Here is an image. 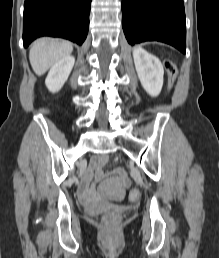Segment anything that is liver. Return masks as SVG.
Here are the masks:
<instances>
[{
  "label": "liver",
  "instance_id": "6515ba94",
  "mask_svg": "<svg viewBox=\"0 0 219 258\" xmlns=\"http://www.w3.org/2000/svg\"><path fill=\"white\" fill-rule=\"evenodd\" d=\"M72 50L68 41L42 38L33 43L29 60L36 75L41 76L56 62L69 56Z\"/></svg>",
  "mask_w": 219,
  "mask_h": 258
}]
</instances>
